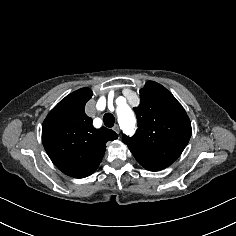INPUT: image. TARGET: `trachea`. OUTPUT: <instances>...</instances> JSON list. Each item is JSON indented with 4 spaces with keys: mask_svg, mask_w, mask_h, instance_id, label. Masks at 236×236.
Returning a JSON list of instances; mask_svg holds the SVG:
<instances>
[{
    "mask_svg": "<svg viewBox=\"0 0 236 236\" xmlns=\"http://www.w3.org/2000/svg\"><path fill=\"white\" fill-rule=\"evenodd\" d=\"M103 122H104L105 126L111 128V127H113V125L115 123V118L111 113H106L103 116Z\"/></svg>",
    "mask_w": 236,
    "mask_h": 236,
    "instance_id": "3493384b",
    "label": "trachea"
}]
</instances>
